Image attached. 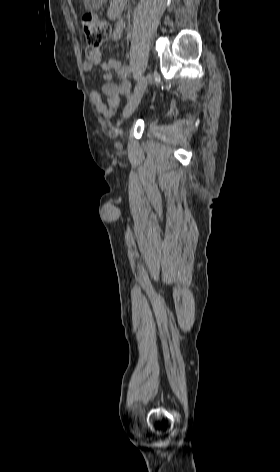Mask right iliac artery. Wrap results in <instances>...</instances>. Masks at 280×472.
I'll use <instances>...</instances> for the list:
<instances>
[{
  "mask_svg": "<svg viewBox=\"0 0 280 472\" xmlns=\"http://www.w3.org/2000/svg\"><path fill=\"white\" fill-rule=\"evenodd\" d=\"M131 68L129 66H123L119 72L120 78L123 80L124 85H127V77L129 76Z\"/></svg>",
  "mask_w": 280,
  "mask_h": 472,
  "instance_id": "obj_1",
  "label": "right iliac artery"
}]
</instances>
